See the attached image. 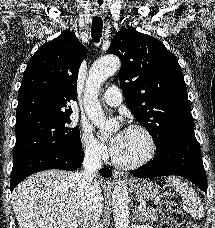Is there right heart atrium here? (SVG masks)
Instances as JSON below:
<instances>
[{"label":"right heart atrium","mask_w":215,"mask_h":228,"mask_svg":"<svg viewBox=\"0 0 215 228\" xmlns=\"http://www.w3.org/2000/svg\"><path fill=\"white\" fill-rule=\"evenodd\" d=\"M78 138L82 152L89 161L97 163L107 157L108 149L106 145L95 137L89 127L82 125L79 128Z\"/></svg>","instance_id":"obj_1"}]
</instances>
